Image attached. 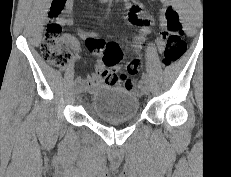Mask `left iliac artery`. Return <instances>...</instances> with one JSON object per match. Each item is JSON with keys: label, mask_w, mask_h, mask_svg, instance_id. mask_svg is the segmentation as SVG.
I'll use <instances>...</instances> for the list:
<instances>
[{"label": "left iliac artery", "mask_w": 231, "mask_h": 177, "mask_svg": "<svg viewBox=\"0 0 231 177\" xmlns=\"http://www.w3.org/2000/svg\"><path fill=\"white\" fill-rule=\"evenodd\" d=\"M142 78L145 79V80H147V81L150 80V79H149V75H148L147 73H143V74H142Z\"/></svg>", "instance_id": "1"}]
</instances>
